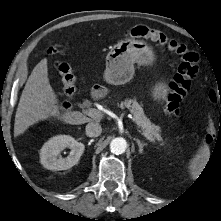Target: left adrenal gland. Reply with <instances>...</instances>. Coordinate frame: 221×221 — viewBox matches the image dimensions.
Wrapping results in <instances>:
<instances>
[{"instance_id":"1","label":"left adrenal gland","mask_w":221,"mask_h":221,"mask_svg":"<svg viewBox=\"0 0 221 221\" xmlns=\"http://www.w3.org/2000/svg\"><path fill=\"white\" fill-rule=\"evenodd\" d=\"M135 141H136L137 144H138L139 153L142 154V153H143V148H144V146H146L147 144L142 143L139 139H135Z\"/></svg>"}]
</instances>
